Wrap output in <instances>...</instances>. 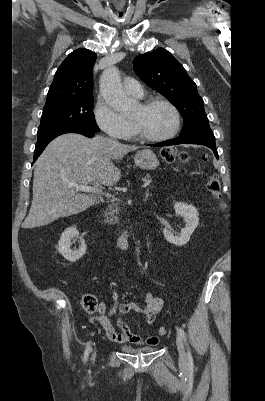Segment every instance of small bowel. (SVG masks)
I'll return each instance as SVG.
<instances>
[{"instance_id":"c3829d8e","label":"small bowel","mask_w":265,"mask_h":401,"mask_svg":"<svg viewBox=\"0 0 265 401\" xmlns=\"http://www.w3.org/2000/svg\"><path fill=\"white\" fill-rule=\"evenodd\" d=\"M111 295L114 302L112 308L109 311H106L105 305L101 304L99 306L98 315L92 319L93 321L101 324L107 338L112 343L118 345H157L159 342V338L157 336L153 335L146 338L140 337L139 335L135 334L133 330L129 329L120 317L124 314L134 311L144 315L147 318L148 323L153 324L156 316L163 307V301L160 298L155 297L152 293H147L144 298V304H138L135 302L120 304L118 292L116 290H112ZM116 314L119 315L117 324L120 332H116L111 323V318Z\"/></svg>"}]
</instances>
